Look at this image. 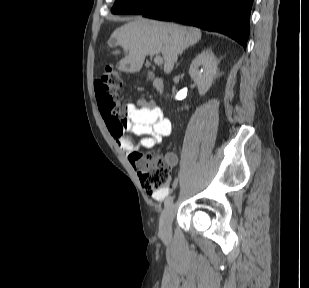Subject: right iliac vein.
I'll return each instance as SVG.
<instances>
[{
    "label": "right iliac vein",
    "mask_w": 309,
    "mask_h": 288,
    "mask_svg": "<svg viewBox=\"0 0 309 288\" xmlns=\"http://www.w3.org/2000/svg\"><path fill=\"white\" fill-rule=\"evenodd\" d=\"M174 214V205L171 203L163 211L160 217L159 232L164 239L171 237V224Z\"/></svg>",
    "instance_id": "obj_1"
}]
</instances>
